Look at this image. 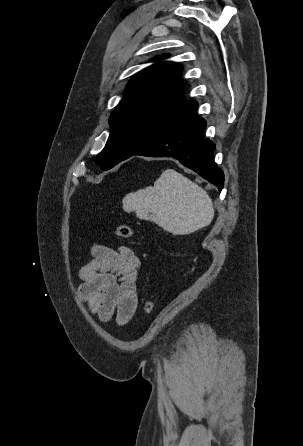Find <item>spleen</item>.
<instances>
[{
    "label": "spleen",
    "mask_w": 303,
    "mask_h": 446,
    "mask_svg": "<svg viewBox=\"0 0 303 446\" xmlns=\"http://www.w3.org/2000/svg\"><path fill=\"white\" fill-rule=\"evenodd\" d=\"M123 210L135 212L173 235H186L208 226L214 217L207 192L173 169L165 170L154 186L127 194Z\"/></svg>",
    "instance_id": "1"
}]
</instances>
